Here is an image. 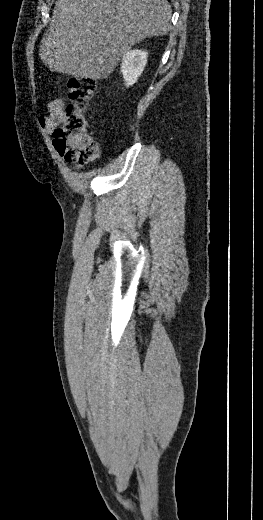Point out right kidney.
<instances>
[{"instance_id": "right-kidney-1", "label": "right kidney", "mask_w": 263, "mask_h": 520, "mask_svg": "<svg viewBox=\"0 0 263 520\" xmlns=\"http://www.w3.org/2000/svg\"><path fill=\"white\" fill-rule=\"evenodd\" d=\"M148 53L144 50H131L123 55L121 72L125 86H132L144 71L147 63Z\"/></svg>"}]
</instances>
